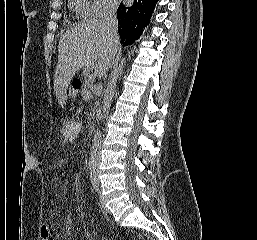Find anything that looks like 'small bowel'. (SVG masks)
Returning a JSON list of instances; mask_svg holds the SVG:
<instances>
[{
	"mask_svg": "<svg viewBox=\"0 0 257 240\" xmlns=\"http://www.w3.org/2000/svg\"><path fill=\"white\" fill-rule=\"evenodd\" d=\"M71 235H72L71 219L67 217L64 219L61 226L59 227L54 240H62L64 238H69Z\"/></svg>",
	"mask_w": 257,
	"mask_h": 240,
	"instance_id": "c3829d8e",
	"label": "small bowel"
}]
</instances>
